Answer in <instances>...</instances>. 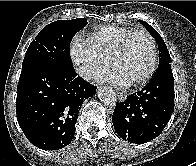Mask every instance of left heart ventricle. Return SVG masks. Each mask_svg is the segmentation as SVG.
Returning <instances> with one entry per match:
<instances>
[{
	"mask_svg": "<svg viewBox=\"0 0 196 166\" xmlns=\"http://www.w3.org/2000/svg\"><path fill=\"white\" fill-rule=\"evenodd\" d=\"M152 62V47L143 34H136L129 42L126 53L113 67L129 83L141 77Z\"/></svg>",
	"mask_w": 196,
	"mask_h": 166,
	"instance_id": "b2bd125f",
	"label": "left heart ventricle"
}]
</instances>
